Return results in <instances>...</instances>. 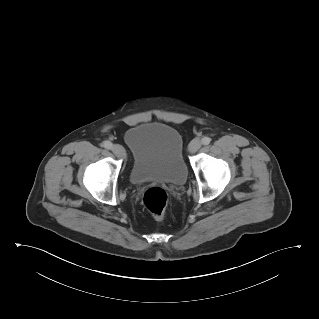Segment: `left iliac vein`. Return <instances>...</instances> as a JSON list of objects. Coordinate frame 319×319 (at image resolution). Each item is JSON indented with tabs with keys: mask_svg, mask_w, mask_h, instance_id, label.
Segmentation results:
<instances>
[{
	"mask_svg": "<svg viewBox=\"0 0 319 319\" xmlns=\"http://www.w3.org/2000/svg\"><path fill=\"white\" fill-rule=\"evenodd\" d=\"M201 145L202 143L199 139H194L190 142L188 150L190 153H195L200 149Z\"/></svg>",
	"mask_w": 319,
	"mask_h": 319,
	"instance_id": "1",
	"label": "left iliac vein"
}]
</instances>
